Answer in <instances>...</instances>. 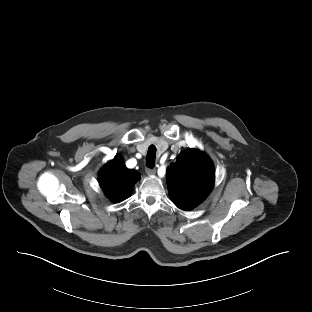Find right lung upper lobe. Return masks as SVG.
<instances>
[{"label":"right lung upper lobe","instance_id":"1","mask_svg":"<svg viewBox=\"0 0 312 312\" xmlns=\"http://www.w3.org/2000/svg\"><path fill=\"white\" fill-rule=\"evenodd\" d=\"M140 174L126 168L123 159L116 155L99 173V184L112 202H121L128 198Z\"/></svg>","mask_w":312,"mask_h":312}]
</instances>
